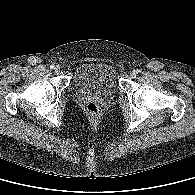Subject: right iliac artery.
Here are the masks:
<instances>
[{"instance_id": "82829eb1", "label": "right iliac artery", "mask_w": 195, "mask_h": 195, "mask_svg": "<svg viewBox=\"0 0 195 195\" xmlns=\"http://www.w3.org/2000/svg\"><path fill=\"white\" fill-rule=\"evenodd\" d=\"M50 68H51V69H55V65L52 64V65L50 66Z\"/></svg>"}]
</instances>
